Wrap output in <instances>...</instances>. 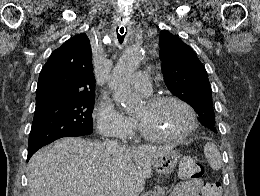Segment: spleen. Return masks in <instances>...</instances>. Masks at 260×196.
I'll list each match as a JSON object with an SVG mask.
<instances>
[{
  "label": "spleen",
  "instance_id": "obj_1",
  "mask_svg": "<svg viewBox=\"0 0 260 196\" xmlns=\"http://www.w3.org/2000/svg\"><path fill=\"white\" fill-rule=\"evenodd\" d=\"M204 154L208 160V164L212 170H220L222 166V160L219 150H217L215 144L207 142L204 146Z\"/></svg>",
  "mask_w": 260,
  "mask_h": 196
}]
</instances>
